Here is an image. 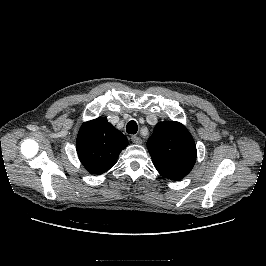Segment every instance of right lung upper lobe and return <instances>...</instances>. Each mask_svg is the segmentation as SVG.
Returning a JSON list of instances; mask_svg holds the SVG:
<instances>
[{
	"label": "right lung upper lobe",
	"mask_w": 266,
	"mask_h": 266,
	"mask_svg": "<svg viewBox=\"0 0 266 266\" xmlns=\"http://www.w3.org/2000/svg\"><path fill=\"white\" fill-rule=\"evenodd\" d=\"M128 140L112 126L106 117L84 123L78 133L76 150L86 170L92 174H103L117 161Z\"/></svg>",
	"instance_id": "1"
}]
</instances>
